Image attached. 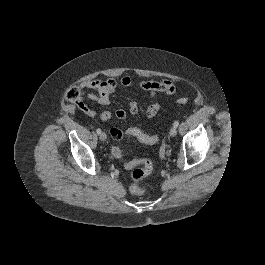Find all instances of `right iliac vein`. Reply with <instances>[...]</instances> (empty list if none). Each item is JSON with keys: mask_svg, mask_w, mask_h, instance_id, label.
I'll use <instances>...</instances> for the list:
<instances>
[{"mask_svg": "<svg viewBox=\"0 0 265 265\" xmlns=\"http://www.w3.org/2000/svg\"><path fill=\"white\" fill-rule=\"evenodd\" d=\"M106 134L104 133V132H102V133H100V135H99V139L101 140V141H105L106 140Z\"/></svg>", "mask_w": 265, "mask_h": 265, "instance_id": "63e3f726", "label": "right iliac vein"}]
</instances>
